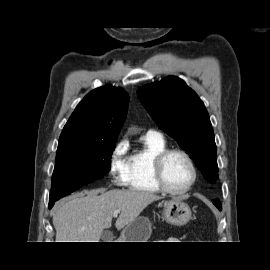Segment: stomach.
<instances>
[{"label": "stomach", "mask_w": 270, "mask_h": 270, "mask_svg": "<svg viewBox=\"0 0 270 270\" xmlns=\"http://www.w3.org/2000/svg\"><path fill=\"white\" fill-rule=\"evenodd\" d=\"M192 216L188 204L178 198L165 201L163 204L162 217L173 225L183 226ZM151 235V222L147 217L140 216L128 224L122 231V242H147Z\"/></svg>", "instance_id": "0dacf381"}]
</instances>
